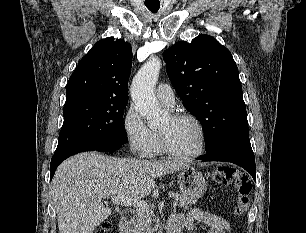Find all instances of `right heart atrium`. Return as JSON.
I'll return each instance as SVG.
<instances>
[{
    "mask_svg": "<svg viewBox=\"0 0 306 233\" xmlns=\"http://www.w3.org/2000/svg\"><path fill=\"white\" fill-rule=\"evenodd\" d=\"M125 138L132 151L144 157L156 153L158 135L151 130L139 111L131 107L123 120Z\"/></svg>",
    "mask_w": 306,
    "mask_h": 233,
    "instance_id": "1",
    "label": "right heart atrium"
}]
</instances>
